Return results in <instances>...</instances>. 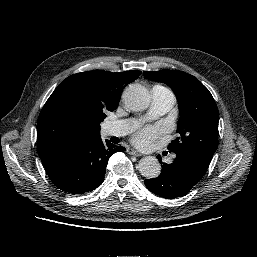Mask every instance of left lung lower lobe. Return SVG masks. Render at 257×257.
<instances>
[{
  "mask_svg": "<svg viewBox=\"0 0 257 257\" xmlns=\"http://www.w3.org/2000/svg\"><path fill=\"white\" fill-rule=\"evenodd\" d=\"M171 164L163 163L157 178L146 179V187L156 195L174 199L187 194L204 176L211 157L198 151H176ZM161 162V157H157Z\"/></svg>",
  "mask_w": 257,
  "mask_h": 257,
  "instance_id": "obj_1",
  "label": "left lung lower lobe"
}]
</instances>
